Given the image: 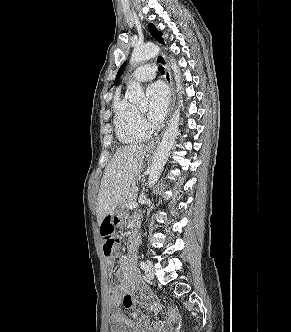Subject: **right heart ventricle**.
<instances>
[{
    "instance_id": "right-heart-ventricle-1",
    "label": "right heart ventricle",
    "mask_w": 291,
    "mask_h": 332,
    "mask_svg": "<svg viewBox=\"0 0 291 332\" xmlns=\"http://www.w3.org/2000/svg\"><path fill=\"white\" fill-rule=\"evenodd\" d=\"M113 112L115 133L120 142L132 144L148 137L147 131L140 122L138 110L128 102L126 97L115 98Z\"/></svg>"
}]
</instances>
